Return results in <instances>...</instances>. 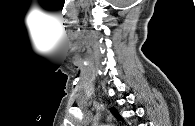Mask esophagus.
Here are the masks:
<instances>
[{"label":"esophagus","instance_id":"esophagus-1","mask_svg":"<svg viewBox=\"0 0 195 126\" xmlns=\"http://www.w3.org/2000/svg\"><path fill=\"white\" fill-rule=\"evenodd\" d=\"M107 121H108V123H111V117H109V116H107Z\"/></svg>","mask_w":195,"mask_h":126}]
</instances>
